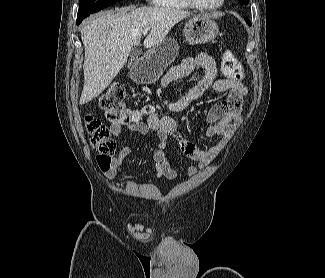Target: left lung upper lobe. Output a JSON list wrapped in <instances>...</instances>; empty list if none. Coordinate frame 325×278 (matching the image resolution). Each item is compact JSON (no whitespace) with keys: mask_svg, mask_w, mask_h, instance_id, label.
Here are the masks:
<instances>
[{"mask_svg":"<svg viewBox=\"0 0 325 278\" xmlns=\"http://www.w3.org/2000/svg\"><path fill=\"white\" fill-rule=\"evenodd\" d=\"M241 3L243 4H247L248 3V0H239Z\"/></svg>","mask_w":325,"mask_h":278,"instance_id":"1","label":"left lung upper lobe"}]
</instances>
